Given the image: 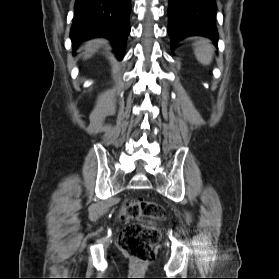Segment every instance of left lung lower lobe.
I'll return each instance as SVG.
<instances>
[{
	"mask_svg": "<svg viewBox=\"0 0 279 279\" xmlns=\"http://www.w3.org/2000/svg\"><path fill=\"white\" fill-rule=\"evenodd\" d=\"M215 0H169L168 34L171 48L188 36L200 35L212 39L217 45Z\"/></svg>",
	"mask_w": 279,
	"mask_h": 279,
	"instance_id": "left-lung-lower-lobe-1",
	"label": "left lung lower lobe"
}]
</instances>
